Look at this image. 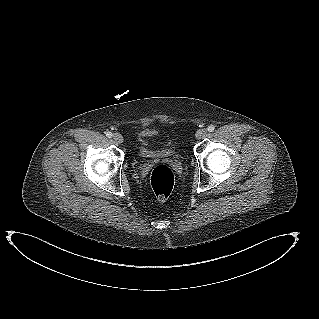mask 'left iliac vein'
<instances>
[{"label": "left iliac vein", "instance_id": "4c4485c4", "mask_svg": "<svg viewBox=\"0 0 319 319\" xmlns=\"http://www.w3.org/2000/svg\"><path fill=\"white\" fill-rule=\"evenodd\" d=\"M206 134H207V130L206 129H199L196 132V138L197 139H201V138L205 137Z\"/></svg>", "mask_w": 319, "mask_h": 319}]
</instances>
